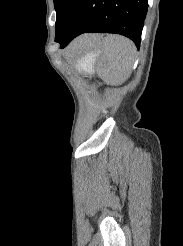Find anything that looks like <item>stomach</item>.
<instances>
[{
	"label": "stomach",
	"mask_w": 183,
	"mask_h": 246,
	"mask_svg": "<svg viewBox=\"0 0 183 246\" xmlns=\"http://www.w3.org/2000/svg\"><path fill=\"white\" fill-rule=\"evenodd\" d=\"M93 47H95L94 51L86 52L85 54H83L77 59L78 70L86 71L85 68H87L89 71H92L94 64L96 62V59L101 53L99 43L96 45H93Z\"/></svg>",
	"instance_id": "0dacf381"
}]
</instances>
